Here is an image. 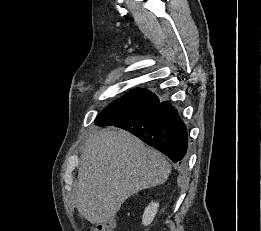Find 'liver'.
I'll return each mask as SVG.
<instances>
[{
  "label": "liver",
  "mask_w": 261,
  "mask_h": 231,
  "mask_svg": "<svg viewBox=\"0 0 261 231\" xmlns=\"http://www.w3.org/2000/svg\"><path fill=\"white\" fill-rule=\"evenodd\" d=\"M171 167L158 151L124 130L107 128L93 133L81 154L75 203L92 224L109 221L127 198L163 184Z\"/></svg>",
  "instance_id": "obj_1"
}]
</instances>
